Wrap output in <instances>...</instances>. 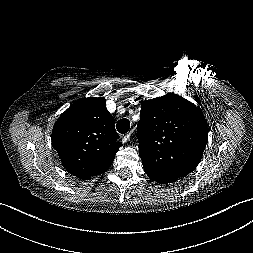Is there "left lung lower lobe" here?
<instances>
[{
	"label": "left lung lower lobe",
	"mask_w": 253,
	"mask_h": 253,
	"mask_svg": "<svg viewBox=\"0 0 253 253\" xmlns=\"http://www.w3.org/2000/svg\"><path fill=\"white\" fill-rule=\"evenodd\" d=\"M146 174L154 181H156L159 184H166V183H172L175 182L178 177L172 176V175H166V174H160L157 172H154L153 170L147 168L144 166Z\"/></svg>",
	"instance_id": "left-lung-lower-lobe-1"
}]
</instances>
